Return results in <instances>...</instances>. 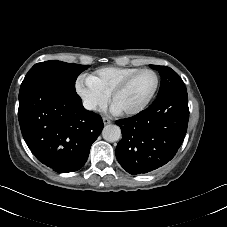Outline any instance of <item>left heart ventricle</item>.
<instances>
[{
  "instance_id": "obj_1",
  "label": "left heart ventricle",
  "mask_w": 227,
  "mask_h": 227,
  "mask_svg": "<svg viewBox=\"0 0 227 227\" xmlns=\"http://www.w3.org/2000/svg\"><path fill=\"white\" fill-rule=\"evenodd\" d=\"M154 85V75L149 72L142 73L131 82L125 91L116 97L115 104L122 111L135 109L148 98Z\"/></svg>"
}]
</instances>
